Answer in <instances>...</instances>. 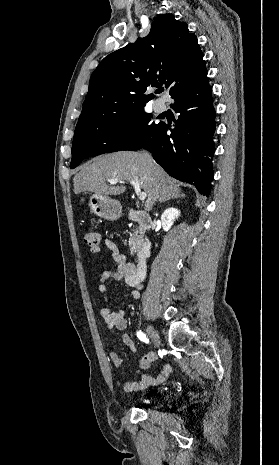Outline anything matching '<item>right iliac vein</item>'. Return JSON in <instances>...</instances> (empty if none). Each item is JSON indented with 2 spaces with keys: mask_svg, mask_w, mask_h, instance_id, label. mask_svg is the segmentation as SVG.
I'll use <instances>...</instances> for the list:
<instances>
[{
  "mask_svg": "<svg viewBox=\"0 0 279 465\" xmlns=\"http://www.w3.org/2000/svg\"><path fill=\"white\" fill-rule=\"evenodd\" d=\"M147 333L158 346L160 344V336L157 330L153 326L147 325Z\"/></svg>",
  "mask_w": 279,
  "mask_h": 465,
  "instance_id": "63e3f726",
  "label": "right iliac vein"
}]
</instances>
